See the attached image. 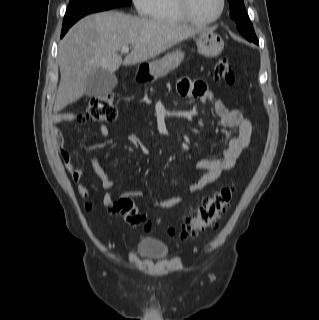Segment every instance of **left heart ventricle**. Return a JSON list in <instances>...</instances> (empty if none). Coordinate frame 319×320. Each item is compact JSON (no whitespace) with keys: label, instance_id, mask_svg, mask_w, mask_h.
I'll use <instances>...</instances> for the list:
<instances>
[{"label":"left heart ventricle","instance_id":"1","mask_svg":"<svg viewBox=\"0 0 319 320\" xmlns=\"http://www.w3.org/2000/svg\"><path fill=\"white\" fill-rule=\"evenodd\" d=\"M195 17L206 20L215 17L220 8V0H190Z\"/></svg>","mask_w":319,"mask_h":320}]
</instances>
